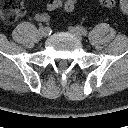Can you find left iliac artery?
<instances>
[{"mask_svg":"<svg viewBox=\"0 0 128 128\" xmlns=\"http://www.w3.org/2000/svg\"><path fill=\"white\" fill-rule=\"evenodd\" d=\"M77 29L83 36H86L88 34L87 30L82 26H77Z\"/></svg>","mask_w":128,"mask_h":128,"instance_id":"44dca946","label":"left iliac artery"}]
</instances>
